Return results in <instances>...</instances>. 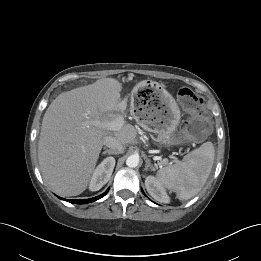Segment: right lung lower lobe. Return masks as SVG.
Returning <instances> with one entry per match:
<instances>
[{"mask_svg":"<svg viewBox=\"0 0 261 261\" xmlns=\"http://www.w3.org/2000/svg\"><path fill=\"white\" fill-rule=\"evenodd\" d=\"M109 190V189H108ZM108 190H106L103 194L94 197V198H90V199H76V200H67L70 203H75V204H84V203H90V202H94L100 198H102L104 195L107 194ZM66 200V199H64Z\"/></svg>","mask_w":261,"mask_h":261,"instance_id":"right-lung-lower-lobe-1","label":"right lung lower lobe"}]
</instances>
